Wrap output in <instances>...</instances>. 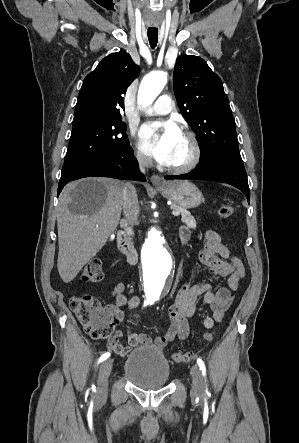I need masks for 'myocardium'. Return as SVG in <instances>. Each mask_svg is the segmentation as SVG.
Returning <instances> with one entry per match:
<instances>
[{"instance_id": "f54148a6", "label": "myocardium", "mask_w": 299, "mask_h": 443, "mask_svg": "<svg viewBox=\"0 0 299 443\" xmlns=\"http://www.w3.org/2000/svg\"><path fill=\"white\" fill-rule=\"evenodd\" d=\"M188 141L190 146V155L187 161L180 165L165 164V168L174 173H186L193 170L201 159V147L196 135L189 130H186L182 134Z\"/></svg>"}]
</instances>
